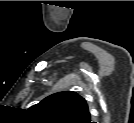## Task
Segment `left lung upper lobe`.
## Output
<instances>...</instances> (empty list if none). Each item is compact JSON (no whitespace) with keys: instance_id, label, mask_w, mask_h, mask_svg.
<instances>
[{"instance_id":"obj_1","label":"left lung upper lobe","mask_w":134,"mask_h":123,"mask_svg":"<svg viewBox=\"0 0 134 123\" xmlns=\"http://www.w3.org/2000/svg\"><path fill=\"white\" fill-rule=\"evenodd\" d=\"M31 110L41 118L57 123H90V113L83 97L73 91L52 94Z\"/></svg>"}]
</instances>
